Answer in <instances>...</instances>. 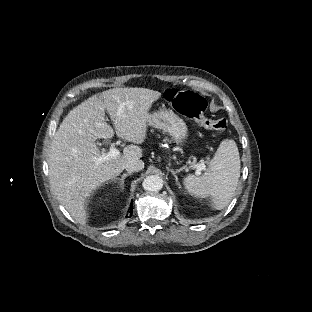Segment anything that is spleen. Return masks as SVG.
<instances>
[{
	"label": "spleen",
	"instance_id": "spleen-1",
	"mask_svg": "<svg viewBox=\"0 0 312 312\" xmlns=\"http://www.w3.org/2000/svg\"><path fill=\"white\" fill-rule=\"evenodd\" d=\"M239 177L240 156L237 145L234 140H224L204 175H189L184 179V185L189 194L199 198L211 196L212 206L223 209L231 201Z\"/></svg>",
	"mask_w": 312,
	"mask_h": 312
}]
</instances>
